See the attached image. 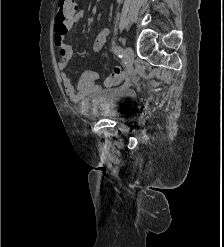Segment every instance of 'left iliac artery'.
Instances as JSON below:
<instances>
[{
	"label": "left iliac artery",
	"instance_id": "left-iliac-artery-1",
	"mask_svg": "<svg viewBox=\"0 0 224 247\" xmlns=\"http://www.w3.org/2000/svg\"><path fill=\"white\" fill-rule=\"evenodd\" d=\"M114 51L119 57H123V49L120 46L117 45Z\"/></svg>",
	"mask_w": 224,
	"mask_h": 247
}]
</instances>
